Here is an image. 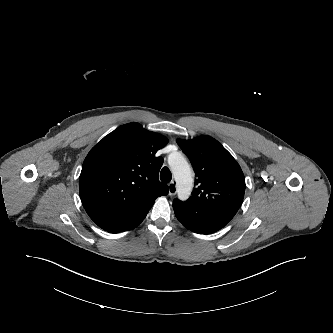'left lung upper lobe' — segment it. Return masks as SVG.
Returning a JSON list of instances; mask_svg holds the SVG:
<instances>
[{"instance_id":"left-lung-upper-lobe-1","label":"left lung upper lobe","mask_w":333,"mask_h":333,"mask_svg":"<svg viewBox=\"0 0 333 333\" xmlns=\"http://www.w3.org/2000/svg\"><path fill=\"white\" fill-rule=\"evenodd\" d=\"M189 157L196 172V188L186 201L205 203L224 198L243 201L244 174L232 155L214 138L199 136L191 140H177Z\"/></svg>"}]
</instances>
